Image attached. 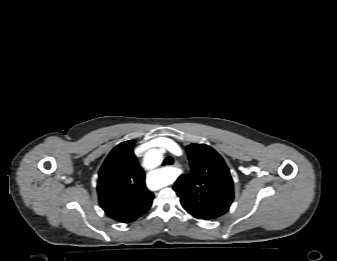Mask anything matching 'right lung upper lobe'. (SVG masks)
Wrapping results in <instances>:
<instances>
[{
  "instance_id": "cb5924a9",
  "label": "right lung upper lobe",
  "mask_w": 337,
  "mask_h": 261,
  "mask_svg": "<svg viewBox=\"0 0 337 261\" xmlns=\"http://www.w3.org/2000/svg\"><path fill=\"white\" fill-rule=\"evenodd\" d=\"M134 143L122 142L110 152L97 184L100 206L107 216L123 223L142 216L154 198L145 186V173L133 153Z\"/></svg>"
}]
</instances>
